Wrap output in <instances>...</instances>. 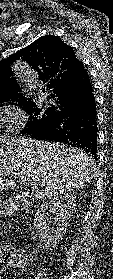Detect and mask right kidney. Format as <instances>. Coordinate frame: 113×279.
I'll list each match as a JSON object with an SVG mask.
<instances>
[{
  "instance_id": "right-kidney-1",
  "label": "right kidney",
  "mask_w": 113,
  "mask_h": 279,
  "mask_svg": "<svg viewBox=\"0 0 113 279\" xmlns=\"http://www.w3.org/2000/svg\"><path fill=\"white\" fill-rule=\"evenodd\" d=\"M75 199L72 193L63 194L44 202L39 207L34 219V227L43 248H54L62 240L76 209ZM46 220L52 227L46 223Z\"/></svg>"
}]
</instances>
